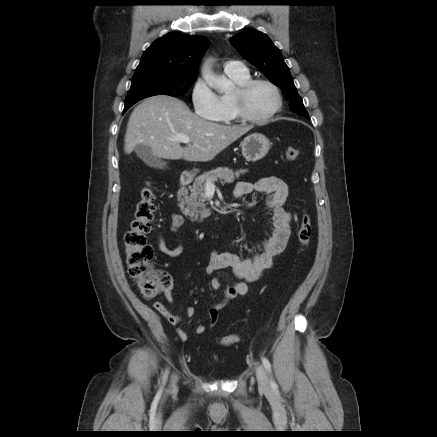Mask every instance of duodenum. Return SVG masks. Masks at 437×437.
<instances>
[{"label":"duodenum","mask_w":437,"mask_h":437,"mask_svg":"<svg viewBox=\"0 0 437 437\" xmlns=\"http://www.w3.org/2000/svg\"><path fill=\"white\" fill-rule=\"evenodd\" d=\"M193 180V173L191 171H185L181 174L179 180V190L177 195L180 196L184 188Z\"/></svg>","instance_id":"obj_1"}]
</instances>
